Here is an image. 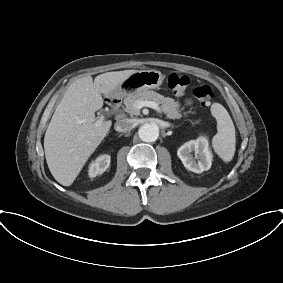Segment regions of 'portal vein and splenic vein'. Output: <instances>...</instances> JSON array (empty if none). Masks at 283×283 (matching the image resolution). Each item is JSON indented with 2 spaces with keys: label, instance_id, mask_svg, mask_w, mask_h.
Returning a JSON list of instances; mask_svg holds the SVG:
<instances>
[{
  "label": "portal vein and splenic vein",
  "instance_id": "obj_1",
  "mask_svg": "<svg viewBox=\"0 0 283 283\" xmlns=\"http://www.w3.org/2000/svg\"><path fill=\"white\" fill-rule=\"evenodd\" d=\"M134 107L136 109H141L143 107H149V108H152V109H155L157 112L161 113V107L154 101H149V100H145V101H137L135 104H134ZM104 121V116L101 115L99 117V119L97 120L96 124L99 125L101 124L102 122Z\"/></svg>",
  "mask_w": 283,
  "mask_h": 283
}]
</instances>
